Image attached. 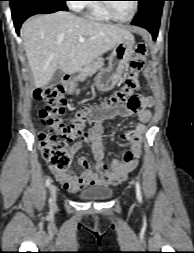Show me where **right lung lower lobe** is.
<instances>
[{"label": "right lung lower lobe", "mask_w": 194, "mask_h": 253, "mask_svg": "<svg viewBox=\"0 0 194 253\" xmlns=\"http://www.w3.org/2000/svg\"><path fill=\"white\" fill-rule=\"evenodd\" d=\"M66 0H20L11 6L13 22L19 33L21 24L28 17L38 13H53L67 10Z\"/></svg>", "instance_id": "1"}]
</instances>
